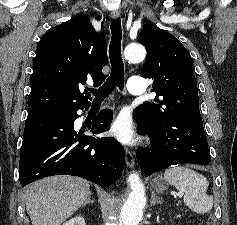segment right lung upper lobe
I'll use <instances>...</instances> for the list:
<instances>
[{
  "instance_id": "1",
  "label": "right lung upper lobe",
  "mask_w": 237,
  "mask_h": 225,
  "mask_svg": "<svg viewBox=\"0 0 237 225\" xmlns=\"http://www.w3.org/2000/svg\"><path fill=\"white\" fill-rule=\"evenodd\" d=\"M107 61L106 39L87 17L75 16L48 30L33 63L28 116L89 104L83 85L87 79L101 84Z\"/></svg>"
}]
</instances>
